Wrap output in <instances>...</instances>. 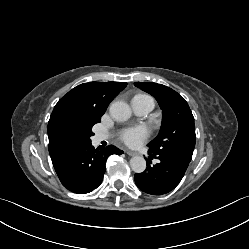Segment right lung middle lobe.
Listing matches in <instances>:
<instances>
[{"mask_svg":"<svg viewBox=\"0 0 249 249\" xmlns=\"http://www.w3.org/2000/svg\"><path fill=\"white\" fill-rule=\"evenodd\" d=\"M92 135H93V133H92L91 130L87 132L86 137H85V145L91 143L90 137H91Z\"/></svg>","mask_w":249,"mask_h":249,"instance_id":"right-lung-middle-lobe-1","label":"right lung middle lobe"}]
</instances>
